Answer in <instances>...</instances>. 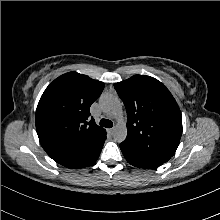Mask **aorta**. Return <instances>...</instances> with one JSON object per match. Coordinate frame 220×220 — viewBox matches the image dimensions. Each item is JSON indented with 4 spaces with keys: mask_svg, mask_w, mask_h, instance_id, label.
Returning a JSON list of instances; mask_svg holds the SVG:
<instances>
[{
    "mask_svg": "<svg viewBox=\"0 0 220 220\" xmlns=\"http://www.w3.org/2000/svg\"><path fill=\"white\" fill-rule=\"evenodd\" d=\"M100 105L104 112L116 118L118 123L113 128V138L116 142H122L127 136L126 124L122 121L123 109L120 100L113 95H103Z\"/></svg>",
    "mask_w": 220,
    "mask_h": 220,
    "instance_id": "obj_1",
    "label": "aorta"
}]
</instances>
